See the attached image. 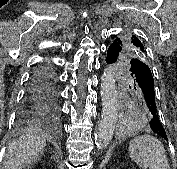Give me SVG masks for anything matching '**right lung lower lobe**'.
Wrapping results in <instances>:
<instances>
[{"instance_id":"obj_1","label":"right lung lower lobe","mask_w":177,"mask_h":169,"mask_svg":"<svg viewBox=\"0 0 177 169\" xmlns=\"http://www.w3.org/2000/svg\"><path fill=\"white\" fill-rule=\"evenodd\" d=\"M57 76L47 67L36 69L20 110L24 121L55 120L59 118Z\"/></svg>"}]
</instances>
